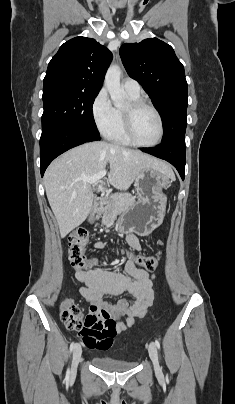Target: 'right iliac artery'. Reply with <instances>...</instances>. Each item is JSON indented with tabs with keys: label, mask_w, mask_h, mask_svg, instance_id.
<instances>
[{
	"label": "right iliac artery",
	"mask_w": 235,
	"mask_h": 404,
	"mask_svg": "<svg viewBox=\"0 0 235 404\" xmlns=\"http://www.w3.org/2000/svg\"><path fill=\"white\" fill-rule=\"evenodd\" d=\"M75 345H76V344H75L74 341L70 344V352H72V350L74 349ZM69 377H70V370H69V368H68L67 373H66V380H67V381L69 380Z\"/></svg>",
	"instance_id": "obj_1"
}]
</instances>
